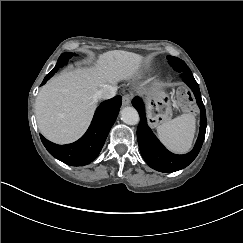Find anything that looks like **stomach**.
Instances as JSON below:
<instances>
[{
    "mask_svg": "<svg viewBox=\"0 0 243 243\" xmlns=\"http://www.w3.org/2000/svg\"><path fill=\"white\" fill-rule=\"evenodd\" d=\"M144 100L151 126H159L171 119V98L158 85L144 95Z\"/></svg>",
    "mask_w": 243,
    "mask_h": 243,
    "instance_id": "obj_1",
    "label": "stomach"
}]
</instances>
